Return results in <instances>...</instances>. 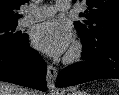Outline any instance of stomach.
<instances>
[{
	"label": "stomach",
	"mask_w": 119,
	"mask_h": 95,
	"mask_svg": "<svg viewBox=\"0 0 119 95\" xmlns=\"http://www.w3.org/2000/svg\"><path fill=\"white\" fill-rule=\"evenodd\" d=\"M67 95H88V93L84 92V91H72V92H69L67 93Z\"/></svg>",
	"instance_id": "1"
}]
</instances>
